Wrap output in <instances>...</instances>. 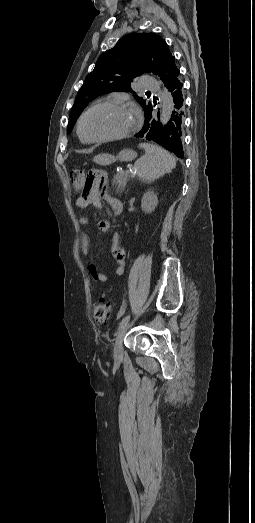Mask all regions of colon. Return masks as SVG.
<instances>
[{"mask_svg":"<svg viewBox=\"0 0 255 523\" xmlns=\"http://www.w3.org/2000/svg\"><path fill=\"white\" fill-rule=\"evenodd\" d=\"M70 180L75 194H86L90 189V181L79 169L70 171ZM112 310V304L102 299L93 305L92 314L97 323L108 325L112 319Z\"/></svg>","mask_w":255,"mask_h":523,"instance_id":"1","label":"colon"}]
</instances>
